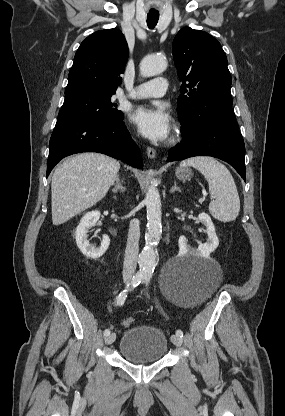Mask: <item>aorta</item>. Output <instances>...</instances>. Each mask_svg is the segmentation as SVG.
Wrapping results in <instances>:
<instances>
[{
    "label": "aorta",
    "mask_w": 285,
    "mask_h": 416,
    "mask_svg": "<svg viewBox=\"0 0 285 416\" xmlns=\"http://www.w3.org/2000/svg\"><path fill=\"white\" fill-rule=\"evenodd\" d=\"M166 67L167 62L163 57L148 55L140 63V74L143 77H152L161 74ZM144 202L147 210L146 246L139 255L138 264L140 274L151 277L157 265L155 247L160 240L162 232L161 199L154 183H151L148 187Z\"/></svg>",
    "instance_id": "obj_1"
}]
</instances>
